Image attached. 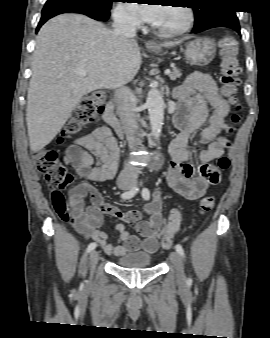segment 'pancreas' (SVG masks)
<instances>
[{
	"label": "pancreas",
	"instance_id": "cf45deb5",
	"mask_svg": "<svg viewBox=\"0 0 270 338\" xmlns=\"http://www.w3.org/2000/svg\"><path fill=\"white\" fill-rule=\"evenodd\" d=\"M182 73L179 69L177 68H174L170 74H169V77L171 80H176L177 78L181 77Z\"/></svg>",
	"mask_w": 270,
	"mask_h": 338
}]
</instances>
